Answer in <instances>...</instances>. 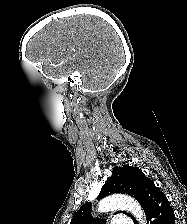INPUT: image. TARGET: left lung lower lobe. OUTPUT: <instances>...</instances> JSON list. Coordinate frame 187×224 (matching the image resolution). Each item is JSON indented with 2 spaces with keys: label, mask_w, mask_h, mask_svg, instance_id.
Segmentation results:
<instances>
[{
  "label": "left lung lower lobe",
  "mask_w": 187,
  "mask_h": 224,
  "mask_svg": "<svg viewBox=\"0 0 187 224\" xmlns=\"http://www.w3.org/2000/svg\"><path fill=\"white\" fill-rule=\"evenodd\" d=\"M146 217L147 224H175L174 211L165 194L159 189L156 190L147 207Z\"/></svg>",
  "instance_id": "left-lung-lower-lobe-1"
}]
</instances>
